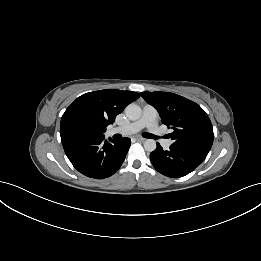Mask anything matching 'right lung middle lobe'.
Returning <instances> with one entry per match:
<instances>
[{
	"label": "right lung middle lobe",
	"instance_id": "right-lung-middle-lobe-1",
	"mask_svg": "<svg viewBox=\"0 0 261 261\" xmlns=\"http://www.w3.org/2000/svg\"><path fill=\"white\" fill-rule=\"evenodd\" d=\"M103 130L98 123L89 115L84 113H75L61 120L60 136H102Z\"/></svg>",
	"mask_w": 261,
	"mask_h": 261
}]
</instances>
